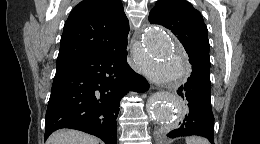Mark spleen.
<instances>
[{
    "label": "spleen",
    "instance_id": "obj_1",
    "mask_svg": "<svg viewBox=\"0 0 260 144\" xmlns=\"http://www.w3.org/2000/svg\"><path fill=\"white\" fill-rule=\"evenodd\" d=\"M186 144H209V142L202 137H187Z\"/></svg>",
    "mask_w": 260,
    "mask_h": 144
}]
</instances>
